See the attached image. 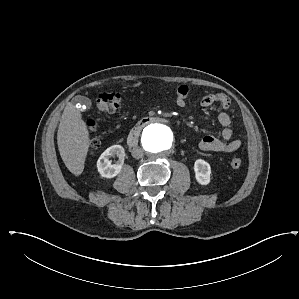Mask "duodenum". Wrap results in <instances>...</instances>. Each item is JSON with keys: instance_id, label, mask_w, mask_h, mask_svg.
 <instances>
[{"instance_id": "duodenum-1", "label": "duodenum", "mask_w": 299, "mask_h": 299, "mask_svg": "<svg viewBox=\"0 0 299 299\" xmlns=\"http://www.w3.org/2000/svg\"><path fill=\"white\" fill-rule=\"evenodd\" d=\"M163 120H164V118L159 117V116H146V117L139 119L136 122V124L133 126V128L131 129V131L128 135V139H127L128 144L130 146L136 145L139 135L145 126H147L150 123L160 122Z\"/></svg>"}]
</instances>
